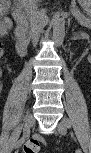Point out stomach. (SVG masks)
I'll list each match as a JSON object with an SVG mask.
<instances>
[{"label":"stomach","instance_id":"stomach-1","mask_svg":"<svg viewBox=\"0 0 91 153\" xmlns=\"http://www.w3.org/2000/svg\"><path fill=\"white\" fill-rule=\"evenodd\" d=\"M79 3L84 7L86 11H90L91 1L90 0H80Z\"/></svg>","mask_w":91,"mask_h":153}]
</instances>
